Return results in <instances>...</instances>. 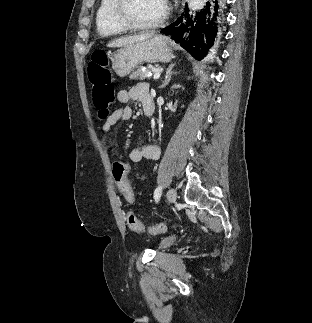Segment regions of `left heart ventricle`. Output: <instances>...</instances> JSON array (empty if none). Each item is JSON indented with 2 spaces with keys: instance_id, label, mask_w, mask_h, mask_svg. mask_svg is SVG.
<instances>
[{
  "instance_id": "left-heart-ventricle-1",
  "label": "left heart ventricle",
  "mask_w": 312,
  "mask_h": 323,
  "mask_svg": "<svg viewBox=\"0 0 312 323\" xmlns=\"http://www.w3.org/2000/svg\"><path fill=\"white\" fill-rule=\"evenodd\" d=\"M122 5H125L124 13L137 22H152L153 18H159L164 7L162 0H122Z\"/></svg>"
}]
</instances>
